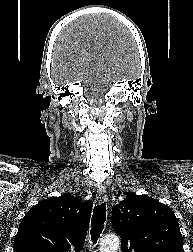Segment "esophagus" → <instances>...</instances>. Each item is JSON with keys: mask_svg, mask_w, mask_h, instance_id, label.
<instances>
[{"mask_svg": "<svg viewBox=\"0 0 193 252\" xmlns=\"http://www.w3.org/2000/svg\"><path fill=\"white\" fill-rule=\"evenodd\" d=\"M96 199L99 204L104 203L107 200V193L104 186H100L97 190Z\"/></svg>", "mask_w": 193, "mask_h": 252, "instance_id": "1", "label": "esophagus"}]
</instances>
